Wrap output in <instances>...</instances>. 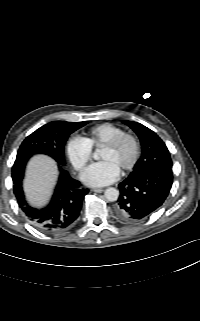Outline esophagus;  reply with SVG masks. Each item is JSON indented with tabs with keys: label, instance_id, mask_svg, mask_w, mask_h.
Returning <instances> with one entry per match:
<instances>
[{
	"label": "esophagus",
	"instance_id": "obj_1",
	"mask_svg": "<svg viewBox=\"0 0 200 321\" xmlns=\"http://www.w3.org/2000/svg\"><path fill=\"white\" fill-rule=\"evenodd\" d=\"M92 191L96 192V193H102L104 191V189H102V188H93Z\"/></svg>",
	"mask_w": 200,
	"mask_h": 321
}]
</instances>
